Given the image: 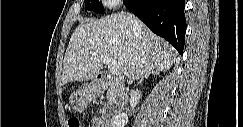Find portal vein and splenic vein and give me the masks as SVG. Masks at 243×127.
I'll return each mask as SVG.
<instances>
[{
	"label": "portal vein and splenic vein",
	"instance_id": "obj_1",
	"mask_svg": "<svg viewBox=\"0 0 243 127\" xmlns=\"http://www.w3.org/2000/svg\"><path fill=\"white\" fill-rule=\"evenodd\" d=\"M103 63L108 65V68L113 75H118L121 72L120 66L115 62L112 61L108 56H100Z\"/></svg>",
	"mask_w": 243,
	"mask_h": 127
}]
</instances>
